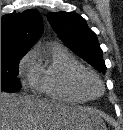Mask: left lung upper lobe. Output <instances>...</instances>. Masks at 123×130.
I'll return each instance as SVG.
<instances>
[{
	"label": "left lung upper lobe",
	"instance_id": "left-lung-upper-lobe-1",
	"mask_svg": "<svg viewBox=\"0 0 123 130\" xmlns=\"http://www.w3.org/2000/svg\"><path fill=\"white\" fill-rule=\"evenodd\" d=\"M48 21L59 38L78 56L99 72L105 73L103 52L96 34L87 26L86 20L74 12H56L47 15Z\"/></svg>",
	"mask_w": 123,
	"mask_h": 130
}]
</instances>
